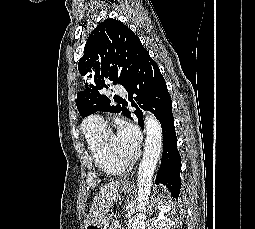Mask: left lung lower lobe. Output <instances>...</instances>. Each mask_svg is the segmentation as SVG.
<instances>
[{
  "label": "left lung lower lobe",
  "mask_w": 255,
  "mask_h": 229,
  "mask_svg": "<svg viewBox=\"0 0 255 229\" xmlns=\"http://www.w3.org/2000/svg\"><path fill=\"white\" fill-rule=\"evenodd\" d=\"M124 87L129 94L131 105L136 108L134 113L142 129L144 128L142 109L154 113L161 123L163 154L156 182L166 185L173 197L177 198L181 187V157L177 150L172 101L165 79L148 51L141 56ZM124 115L131 118L126 108Z\"/></svg>",
  "instance_id": "0a47b994"
}]
</instances>
